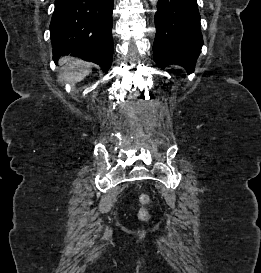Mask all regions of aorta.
<instances>
[{
    "label": "aorta",
    "instance_id": "762f6f07",
    "mask_svg": "<svg viewBox=\"0 0 261 273\" xmlns=\"http://www.w3.org/2000/svg\"><path fill=\"white\" fill-rule=\"evenodd\" d=\"M153 5H156L158 0H150Z\"/></svg>",
    "mask_w": 261,
    "mask_h": 273
}]
</instances>
